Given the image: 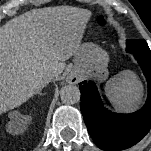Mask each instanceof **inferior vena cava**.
<instances>
[{
    "label": "inferior vena cava",
    "instance_id": "1",
    "mask_svg": "<svg viewBox=\"0 0 151 151\" xmlns=\"http://www.w3.org/2000/svg\"><path fill=\"white\" fill-rule=\"evenodd\" d=\"M53 74H54V75H57V74H59V73H58L57 70H55V71H53Z\"/></svg>",
    "mask_w": 151,
    "mask_h": 151
}]
</instances>
